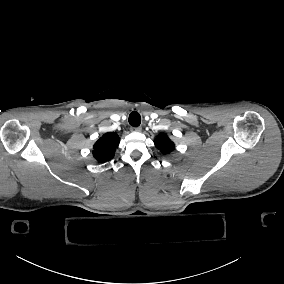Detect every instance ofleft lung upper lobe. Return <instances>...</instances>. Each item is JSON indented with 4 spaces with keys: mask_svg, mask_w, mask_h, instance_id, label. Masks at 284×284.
I'll use <instances>...</instances> for the list:
<instances>
[{
    "mask_svg": "<svg viewBox=\"0 0 284 284\" xmlns=\"http://www.w3.org/2000/svg\"><path fill=\"white\" fill-rule=\"evenodd\" d=\"M154 143L157 149H159L163 154H169L174 150V143L166 134H159Z\"/></svg>",
    "mask_w": 284,
    "mask_h": 284,
    "instance_id": "left-lung-upper-lobe-1",
    "label": "left lung upper lobe"
}]
</instances>
